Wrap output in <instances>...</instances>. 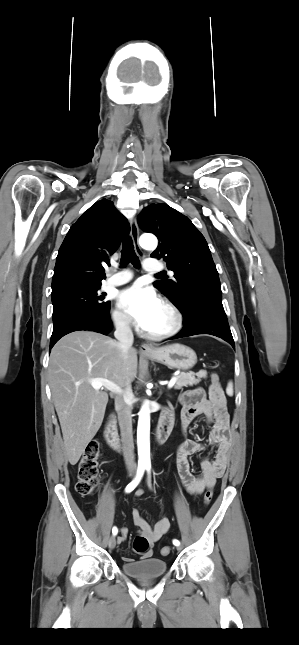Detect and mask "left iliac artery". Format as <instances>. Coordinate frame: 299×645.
Wrapping results in <instances>:
<instances>
[{
  "mask_svg": "<svg viewBox=\"0 0 299 645\" xmlns=\"http://www.w3.org/2000/svg\"><path fill=\"white\" fill-rule=\"evenodd\" d=\"M146 469H147L148 473H150V465H146ZM149 485H150V483H149ZM173 544L175 546H178V545H180V542L178 540L174 539Z\"/></svg>",
  "mask_w": 299,
  "mask_h": 645,
  "instance_id": "44dca946",
  "label": "left iliac artery"
}]
</instances>
